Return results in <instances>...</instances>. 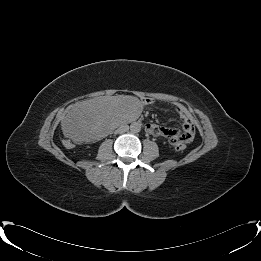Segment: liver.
Listing matches in <instances>:
<instances>
[{
	"label": "liver",
	"instance_id": "obj_1",
	"mask_svg": "<svg viewBox=\"0 0 261 261\" xmlns=\"http://www.w3.org/2000/svg\"><path fill=\"white\" fill-rule=\"evenodd\" d=\"M140 113L136 97H98L78 102L62 122L64 135L74 142L101 137L121 123L134 121Z\"/></svg>",
	"mask_w": 261,
	"mask_h": 261
}]
</instances>
